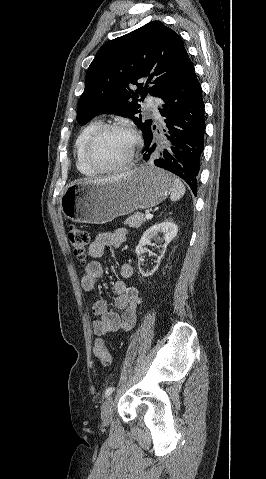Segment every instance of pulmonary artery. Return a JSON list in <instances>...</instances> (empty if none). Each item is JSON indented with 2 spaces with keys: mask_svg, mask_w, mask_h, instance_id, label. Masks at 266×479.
<instances>
[{
  "mask_svg": "<svg viewBox=\"0 0 266 479\" xmlns=\"http://www.w3.org/2000/svg\"><path fill=\"white\" fill-rule=\"evenodd\" d=\"M147 111L149 115H155L156 117L158 116L156 108L154 107L153 103L149 102L147 104Z\"/></svg>",
  "mask_w": 266,
  "mask_h": 479,
  "instance_id": "pulmonary-artery-1",
  "label": "pulmonary artery"
}]
</instances>
